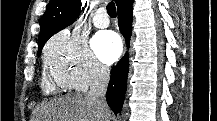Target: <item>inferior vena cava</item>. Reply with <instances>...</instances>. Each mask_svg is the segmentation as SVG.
<instances>
[{"label": "inferior vena cava", "mask_w": 217, "mask_h": 121, "mask_svg": "<svg viewBox=\"0 0 217 121\" xmlns=\"http://www.w3.org/2000/svg\"><path fill=\"white\" fill-rule=\"evenodd\" d=\"M109 78L110 72L108 68L101 65L94 66L93 77L87 97L97 102L101 115L104 113L105 107L107 106L105 94Z\"/></svg>", "instance_id": "obj_1"}]
</instances>
